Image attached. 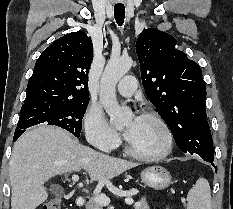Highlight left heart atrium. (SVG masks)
<instances>
[{
  "mask_svg": "<svg viewBox=\"0 0 233 209\" xmlns=\"http://www.w3.org/2000/svg\"><path fill=\"white\" fill-rule=\"evenodd\" d=\"M138 118H139V117H134V121H137ZM130 134H131V130H130V129H127L126 132H125L126 138H128V137L130 136Z\"/></svg>",
  "mask_w": 233,
  "mask_h": 209,
  "instance_id": "obj_1",
  "label": "left heart atrium"
}]
</instances>
